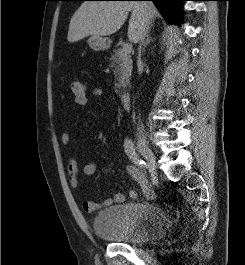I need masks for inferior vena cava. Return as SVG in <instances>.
<instances>
[{"instance_id": "inferior-vena-cava-1", "label": "inferior vena cava", "mask_w": 245, "mask_h": 265, "mask_svg": "<svg viewBox=\"0 0 245 265\" xmlns=\"http://www.w3.org/2000/svg\"><path fill=\"white\" fill-rule=\"evenodd\" d=\"M141 5L143 7V17H142L141 28L139 32V48H138L139 54H138V61H137L138 68L142 67V62L140 59L141 47L142 45H144V42H145L144 40L149 30V25L152 21V14L148 8V6L150 5V2H141ZM142 128H143V125H141V129Z\"/></svg>"}]
</instances>
